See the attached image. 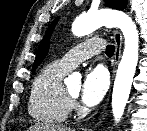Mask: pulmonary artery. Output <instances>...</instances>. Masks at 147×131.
Wrapping results in <instances>:
<instances>
[{"label": "pulmonary artery", "mask_w": 147, "mask_h": 131, "mask_svg": "<svg viewBox=\"0 0 147 131\" xmlns=\"http://www.w3.org/2000/svg\"><path fill=\"white\" fill-rule=\"evenodd\" d=\"M104 49V42L100 38L87 40L71 50L58 60L65 68L71 70L82 61L101 53Z\"/></svg>", "instance_id": "e3ab8cb5"}]
</instances>
